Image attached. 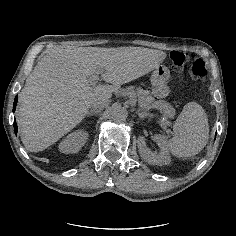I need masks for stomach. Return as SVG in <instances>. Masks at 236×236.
I'll use <instances>...</instances> for the list:
<instances>
[{
  "mask_svg": "<svg viewBox=\"0 0 236 236\" xmlns=\"http://www.w3.org/2000/svg\"><path fill=\"white\" fill-rule=\"evenodd\" d=\"M170 78V71L165 66L156 68L151 75L152 94L155 97H164L169 93L167 82Z\"/></svg>",
  "mask_w": 236,
  "mask_h": 236,
  "instance_id": "0dacf381",
  "label": "stomach"
}]
</instances>
